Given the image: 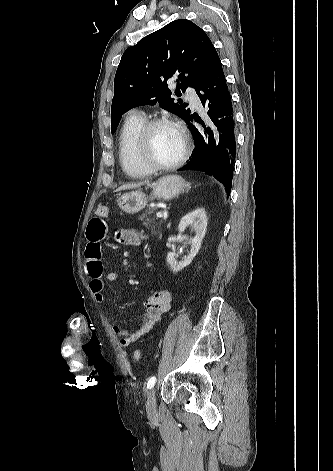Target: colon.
I'll return each instance as SVG.
<instances>
[{
    "mask_svg": "<svg viewBox=\"0 0 333 471\" xmlns=\"http://www.w3.org/2000/svg\"><path fill=\"white\" fill-rule=\"evenodd\" d=\"M96 215L97 216H100V217H106L109 213V209L108 207L106 206H99L97 209H96ZM133 357L135 360H140L142 358V351L137 349L134 351V354H133Z\"/></svg>",
    "mask_w": 333,
    "mask_h": 471,
    "instance_id": "1",
    "label": "colon"
}]
</instances>
